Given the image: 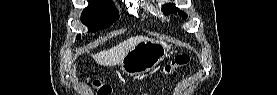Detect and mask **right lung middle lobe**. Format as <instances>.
Here are the masks:
<instances>
[{"mask_svg":"<svg viewBox=\"0 0 277 95\" xmlns=\"http://www.w3.org/2000/svg\"><path fill=\"white\" fill-rule=\"evenodd\" d=\"M119 17L118 11L112 2L89 1V5L84 9L81 21L89 27V31L95 32L99 29L109 27ZM81 35L77 36L80 39Z\"/></svg>","mask_w":277,"mask_h":95,"instance_id":"obj_1","label":"right lung middle lobe"}]
</instances>
